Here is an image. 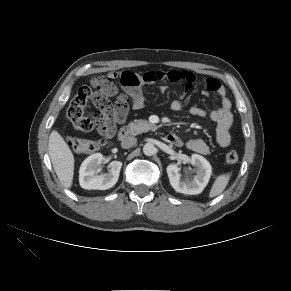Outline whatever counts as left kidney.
Listing matches in <instances>:
<instances>
[{"label": "left kidney", "mask_w": 291, "mask_h": 291, "mask_svg": "<svg viewBox=\"0 0 291 291\" xmlns=\"http://www.w3.org/2000/svg\"><path fill=\"white\" fill-rule=\"evenodd\" d=\"M191 163L196 167V175L193 178L181 179L180 169L176 164L167 166V174L171 186L175 191L188 195H196L203 191L207 186L212 168L210 163L201 155L193 154Z\"/></svg>", "instance_id": "left-kidney-1"}]
</instances>
